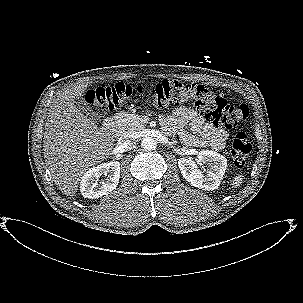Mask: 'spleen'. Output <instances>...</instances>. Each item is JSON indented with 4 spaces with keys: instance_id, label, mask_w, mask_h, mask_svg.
Listing matches in <instances>:
<instances>
[{
    "instance_id": "3e777b00",
    "label": "spleen",
    "mask_w": 303,
    "mask_h": 303,
    "mask_svg": "<svg viewBox=\"0 0 303 303\" xmlns=\"http://www.w3.org/2000/svg\"><path fill=\"white\" fill-rule=\"evenodd\" d=\"M242 181H243V175L238 174L237 176L234 177V179L232 181L233 187L239 186L242 183Z\"/></svg>"
}]
</instances>
